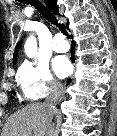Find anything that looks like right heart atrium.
Returning <instances> with one entry per match:
<instances>
[{
	"mask_svg": "<svg viewBox=\"0 0 117 136\" xmlns=\"http://www.w3.org/2000/svg\"><path fill=\"white\" fill-rule=\"evenodd\" d=\"M17 82L27 101L62 94L61 83L52 75L46 62H26L18 70Z\"/></svg>",
	"mask_w": 117,
	"mask_h": 136,
	"instance_id": "right-heart-atrium-1",
	"label": "right heart atrium"
}]
</instances>
